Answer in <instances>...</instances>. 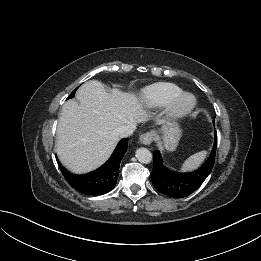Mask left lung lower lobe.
Listing matches in <instances>:
<instances>
[{"instance_id": "obj_1", "label": "left lung lower lobe", "mask_w": 261, "mask_h": 261, "mask_svg": "<svg viewBox=\"0 0 261 261\" xmlns=\"http://www.w3.org/2000/svg\"><path fill=\"white\" fill-rule=\"evenodd\" d=\"M217 133L212 151L206 162L197 170L189 173H180L168 170L162 163L159 151L153 153V171L151 180L153 186L162 194L182 198L197 190L211 172L216 155Z\"/></svg>"}]
</instances>
